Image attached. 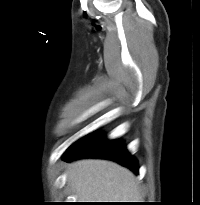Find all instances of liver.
Instances as JSON below:
<instances>
[{
	"instance_id": "obj_1",
	"label": "liver",
	"mask_w": 200,
	"mask_h": 205,
	"mask_svg": "<svg viewBox=\"0 0 200 205\" xmlns=\"http://www.w3.org/2000/svg\"><path fill=\"white\" fill-rule=\"evenodd\" d=\"M66 171L68 184L78 199L83 200L81 202L141 200L134 174L115 162L99 159L77 160L68 164Z\"/></svg>"
}]
</instances>
